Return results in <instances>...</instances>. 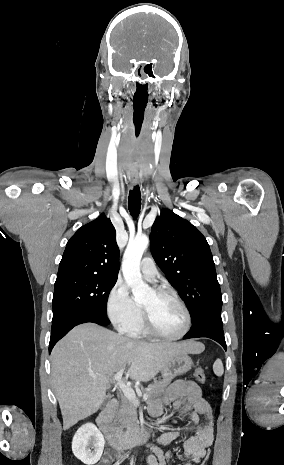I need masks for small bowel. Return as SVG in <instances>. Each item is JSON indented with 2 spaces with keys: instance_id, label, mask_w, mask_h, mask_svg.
Instances as JSON below:
<instances>
[{
  "instance_id": "small-bowel-1",
  "label": "small bowel",
  "mask_w": 284,
  "mask_h": 465,
  "mask_svg": "<svg viewBox=\"0 0 284 465\" xmlns=\"http://www.w3.org/2000/svg\"><path fill=\"white\" fill-rule=\"evenodd\" d=\"M167 407H171V414L179 418H188L194 427L193 434L183 443V465H198L203 459L206 449L214 440L212 410L203 398L197 383L190 380L173 382L165 393L150 406V416L159 419ZM180 435L178 430H168L161 433L156 443L149 444L151 454L147 458V465H165V461L173 462V454L164 451L166 446ZM110 454H106L100 465H109Z\"/></svg>"
}]
</instances>
